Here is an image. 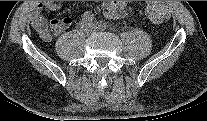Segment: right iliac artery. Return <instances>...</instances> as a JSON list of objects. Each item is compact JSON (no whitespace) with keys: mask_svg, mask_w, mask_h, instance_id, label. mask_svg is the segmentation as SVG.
Segmentation results:
<instances>
[{"mask_svg":"<svg viewBox=\"0 0 207 121\" xmlns=\"http://www.w3.org/2000/svg\"><path fill=\"white\" fill-rule=\"evenodd\" d=\"M83 20L85 22H93L94 21V15L90 12H85L83 14Z\"/></svg>","mask_w":207,"mask_h":121,"instance_id":"right-iliac-artery-1","label":"right iliac artery"}]
</instances>
